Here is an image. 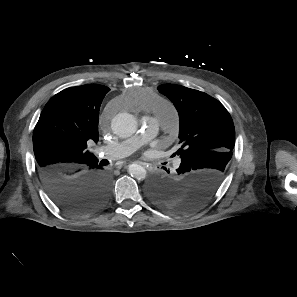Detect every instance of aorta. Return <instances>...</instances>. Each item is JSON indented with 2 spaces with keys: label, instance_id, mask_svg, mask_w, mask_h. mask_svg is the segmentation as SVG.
<instances>
[{
  "label": "aorta",
  "instance_id": "obj_1",
  "mask_svg": "<svg viewBox=\"0 0 297 297\" xmlns=\"http://www.w3.org/2000/svg\"><path fill=\"white\" fill-rule=\"evenodd\" d=\"M112 131L119 137L126 138L133 135L137 129V121L132 114L119 113L111 122ZM128 171L132 177L142 181L146 178V170L139 164H131Z\"/></svg>",
  "mask_w": 297,
  "mask_h": 297
}]
</instances>
